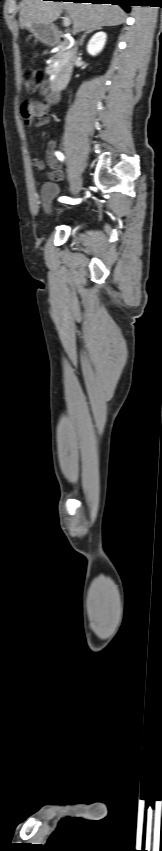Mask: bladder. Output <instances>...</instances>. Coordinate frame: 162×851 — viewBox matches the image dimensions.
Instances as JSON below:
<instances>
[{"mask_svg":"<svg viewBox=\"0 0 162 851\" xmlns=\"http://www.w3.org/2000/svg\"><path fill=\"white\" fill-rule=\"evenodd\" d=\"M57 189L56 184L51 182L43 184L41 188V201L47 210H49L52 206L54 198L57 195ZM71 226L76 229L80 227V223L78 220L73 219L71 221Z\"/></svg>","mask_w":162,"mask_h":851,"instance_id":"obj_1","label":"bladder"}]
</instances>
